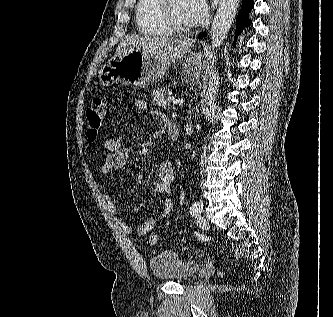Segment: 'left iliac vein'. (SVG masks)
<instances>
[{
  "label": "left iliac vein",
  "instance_id": "4c4485c4",
  "mask_svg": "<svg viewBox=\"0 0 333 317\" xmlns=\"http://www.w3.org/2000/svg\"><path fill=\"white\" fill-rule=\"evenodd\" d=\"M196 224L201 229H207L209 227V223L207 219L201 215V213H198L195 218Z\"/></svg>",
  "mask_w": 333,
  "mask_h": 317
}]
</instances>
